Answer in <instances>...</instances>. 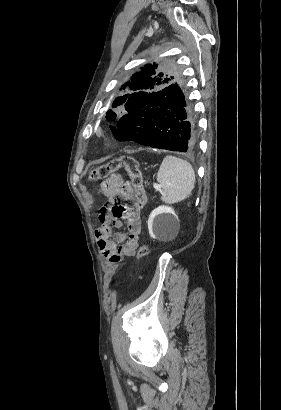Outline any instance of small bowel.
Instances as JSON below:
<instances>
[{
    "mask_svg": "<svg viewBox=\"0 0 281 410\" xmlns=\"http://www.w3.org/2000/svg\"><path fill=\"white\" fill-rule=\"evenodd\" d=\"M99 194L112 198L118 194L131 193V186L124 181L120 175H112L104 181L99 189ZM100 226L95 232L96 240L102 254L110 264H116L124 257H131L135 254L139 243L141 232V219L136 214H124L114 216L110 213L109 207L104 205L99 210ZM126 224L128 236L121 233H114V228H121ZM118 245V243H121Z\"/></svg>",
    "mask_w": 281,
    "mask_h": 410,
    "instance_id": "c3829d8e",
    "label": "small bowel"
}]
</instances>
